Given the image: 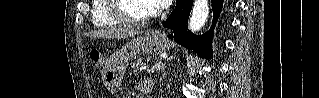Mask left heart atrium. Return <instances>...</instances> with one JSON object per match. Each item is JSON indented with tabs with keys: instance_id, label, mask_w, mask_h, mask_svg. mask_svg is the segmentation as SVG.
I'll return each instance as SVG.
<instances>
[{
	"instance_id": "39dd6f15",
	"label": "left heart atrium",
	"mask_w": 319,
	"mask_h": 98,
	"mask_svg": "<svg viewBox=\"0 0 319 98\" xmlns=\"http://www.w3.org/2000/svg\"><path fill=\"white\" fill-rule=\"evenodd\" d=\"M151 13H157L169 6L171 0H148Z\"/></svg>"
}]
</instances>
